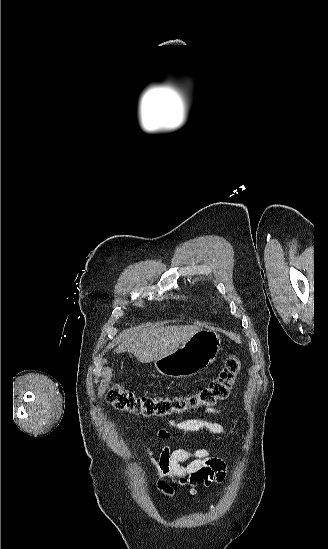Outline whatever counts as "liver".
Listing matches in <instances>:
<instances>
[{"label": "liver", "instance_id": "1", "mask_svg": "<svg viewBox=\"0 0 328 549\" xmlns=\"http://www.w3.org/2000/svg\"><path fill=\"white\" fill-rule=\"evenodd\" d=\"M159 323H147L128 329L122 337L121 345L115 353H132L140 363H152L160 357L170 355L180 345L186 343L194 333L200 331L198 325H173L158 327Z\"/></svg>", "mask_w": 328, "mask_h": 549}]
</instances>
